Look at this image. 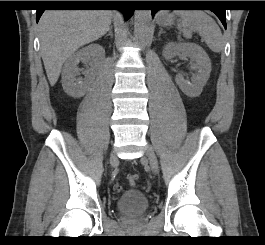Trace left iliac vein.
<instances>
[{
    "label": "left iliac vein",
    "mask_w": 265,
    "mask_h": 245,
    "mask_svg": "<svg viewBox=\"0 0 265 245\" xmlns=\"http://www.w3.org/2000/svg\"><path fill=\"white\" fill-rule=\"evenodd\" d=\"M146 156L149 160V164L151 166L152 171L154 173H157V171H158L157 158L155 156L153 148L150 145H147V147H146Z\"/></svg>",
    "instance_id": "obj_1"
}]
</instances>
